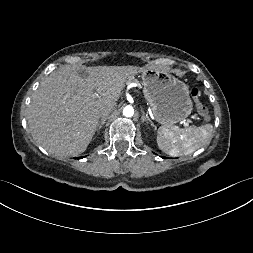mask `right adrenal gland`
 Returning a JSON list of instances; mask_svg holds the SVG:
<instances>
[{"instance_id":"2a0ac1e0","label":"right adrenal gland","mask_w":253,"mask_h":253,"mask_svg":"<svg viewBox=\"0 0 253 253\" xmlns=\"http://www.w3.org/2000/svg\"><path fill=\"white\" fill-rule=\"evenodd\" d=\"M106 120H107V116H106V117H103V118L101 119V121L99 122V125H98V129H99V130L103 127V125L105 124Z\"/></svg>"}]
</instances>
